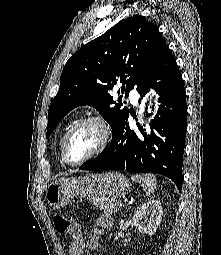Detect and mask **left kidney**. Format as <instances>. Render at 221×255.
<instances>
[{
	"instance_id": "left-kidney-1",
	"label": "left kidney",
	"mask_w": 221,
	"mask_h": 255,
	"mask_svg": "<svg viewBox=\"0 0 221 255\" xmlns=\"http://www.w3.org/2000/svg\"><path fill=\"white\" fill-rule=\"evenodd\" d=\"M163 208L158 199H152L144 203L133 215V221L142 234L152 236L162 219Z\"/></svg>"
}]
</instances>
